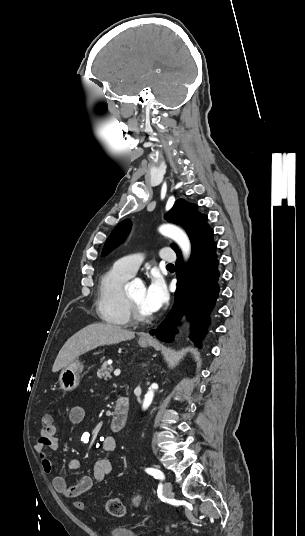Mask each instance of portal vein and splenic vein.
<instances>
[{
    "label": "portal vein and splenic vein",
    "instance_id": "obj_1",
    "mask_svg": "<svg viewBox=\"0 0 305 536\" xmlns=\"http://www.w3.org/2000/svg\"><path fill=\"white\" fill-rule=\"evenodd\" d=\"M119 374H121V370H115L114 376H119Z\"/></svg>",
    "mask_w": 305,
    "mask_h": 536
}]
</instances>
